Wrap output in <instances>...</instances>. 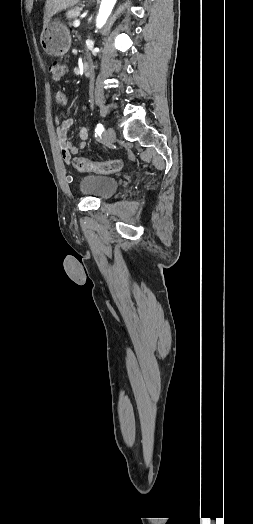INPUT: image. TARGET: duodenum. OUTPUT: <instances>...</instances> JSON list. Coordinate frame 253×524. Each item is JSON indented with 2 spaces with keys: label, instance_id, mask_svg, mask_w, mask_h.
<instances>
[{
  "label": "duodenum",
  "instance_id": "obj_1",
  "mask_svg": "<svg viewBox=\"0 0 253 524\" xmlns=\"http://www.w3.org/2000/svg\"><path fill=\"white\" fill-rule=\"evenodd\" d=\"M83 71H84L86 76H89L91 74V65H90L89 62H85L83 64Z\"/></svg>",
  "mask_w": 253,
  "mask_h": 524
}]
</instances>
